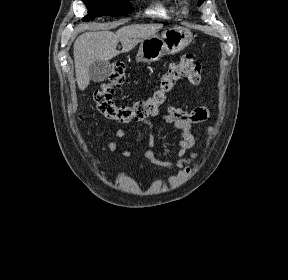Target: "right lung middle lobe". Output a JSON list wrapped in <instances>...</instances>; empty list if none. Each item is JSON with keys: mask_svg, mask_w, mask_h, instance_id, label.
Segmentation results:
<instances>
[{"mask_svg": "<svg viewBox=\"0 0 288 280\" xmlns=\"http://www.w3.org/2000/svg\"><path fill=\"white\" fill-rule=\"evenodd\" d=\"M88 14L83 18L89 21L96 16L110 15L121 16L131 13L134 8L130 6L128 0H83Z\"/></svg>", "mask_w": 288, "mask_h": 280, "instance_id": "dd1d6c3e", "label": "right lung middle lobe"}]
</instances>
